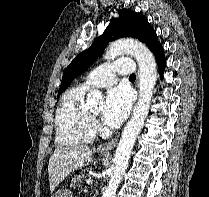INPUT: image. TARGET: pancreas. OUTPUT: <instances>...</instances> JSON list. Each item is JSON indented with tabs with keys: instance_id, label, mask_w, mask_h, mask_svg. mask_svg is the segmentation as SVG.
Instances as JSON below:
<instances>
[{
	"instance_id": "pancreas-1",
	"label": "pancreas",
	"mask_w": 209,
	"mask_h": 197,
	"mask_svg": "<svg viewBox=\"0 0 209 197\" xmlns=\"http://www.w3.org/2000/svg\"><path fill=\"white\" fill-rule=\"evenodd\" d=\"M83 178H84V173H80L78 175H75L71 180V187L74 188L76 186V184L78 185L79 182L82 181Z\"/></svg>"
}]
</instances>
